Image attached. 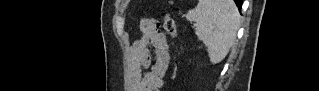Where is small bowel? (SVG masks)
<instances>
[{
    "mask_svg": "<svg viewBox=\"0 0 319 91\" xmlns=\"http://www.w3.org/2000/svg\"><path fill=\"white\" fill-rule=\"evenodd\" d=\"M139 28L141 36L131 47L134 62L131 87L134 91H159L170 63L168 40L155 20L144 19Z\"/></svg>",
    "mask_w": 319,
    "mask_h": 91,
    "instance_id": "c3829d8e",
    "label": "small bowel"
}]
</instances>
